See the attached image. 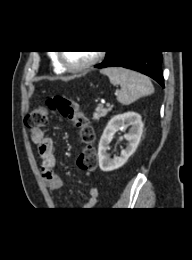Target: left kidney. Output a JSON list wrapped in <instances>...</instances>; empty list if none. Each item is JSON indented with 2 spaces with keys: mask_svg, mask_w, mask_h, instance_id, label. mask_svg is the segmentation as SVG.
I'll list each match as a JSON object with an SVG mask.
<instances>
[{
  "mask_svg": "<svg viewBox=\"0 0 192 260\" xmlns=\"http://www.w3.org/2000/svg\"><path fill=\"white\" fill-rule=\"evenodd\" d=\"M131 126L124 138L128 141L125 149H122L120 156L111 159L107 150L114 134L119 130H125ZM143 132L142 118L138 113L127 112L114 116L105 127L98 146L99 167L104 172H110L123 166L128 158L137 149Z\"/></svg>",
  "mask_w": 192,
  "mask_h": 260,
  "instance_id": "1",
  "label": "left kidney"
}]
</instances>
